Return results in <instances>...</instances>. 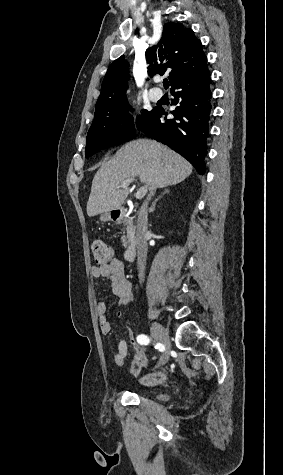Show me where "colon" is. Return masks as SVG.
<instances>
[{
    "label": "colon",
    "instance_id": "obj_1",
    "mask_svg": "<svg viewBox=\"0 0 283 475\" xmlns=\"http://www.w3.org/2000/svg\"><path fill=\"white\" fill-rule=\"evenodd\" d=\"M91 251L95 261L100 265L108 264L115 260L114 249L103 242L93 243Z\"/></svg>",
    "mask_w": 283,
    "mask_h": 475
}]
</instances>
